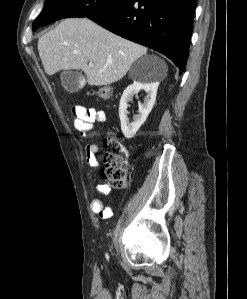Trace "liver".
Wrapping results in <instances>:
<instances>
[{
	"label": "liver",
	"instance_id": "6515ba94",
	"mask_svg": "<svg viewBox=\"0 0 247 299\" xmlns=\"http://www.w3.org/2000/svg\"><path fill=\"white\" fill-rule=\"evenodd\" d=\"M38 51L46 74L81 69L89 85L103 86L122 79L147 49L88 18H69L39 38ZM160 65L166 75L165 63Z\"/></svg>",
	"mask_w": 247,
	"mask_h": 299
}]
</instances>
